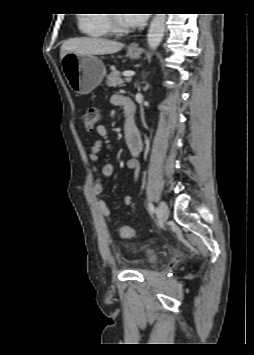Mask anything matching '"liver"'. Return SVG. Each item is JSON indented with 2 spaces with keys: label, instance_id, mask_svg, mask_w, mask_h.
I'll return each mask as SVG.
<instances>
[{
  "label": "liver",
  "instance_id": "obj_1",
  "mask_svg": "<svg viewBox=\"0 0 254 355\" xmlns=\"http://www.w3.org/2000/svg\"><path fill=\"white\" fill-rule=\"evenodd\" d=\"M123 47V43L102 38H71L64 41L62 44L60 49V58L62 59L67 53H76L82 55L113 54L120 51Z\"/></svg>",
  "mask_w": 254,
  "mask_h": 355
}]
</instances>
